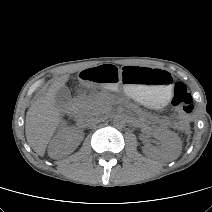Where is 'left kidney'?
Masks as SVG:
<instances>
[{"label": "left kidney", "instance_id": "obj_1", "mask_svg": "<svg viewBox=\"0 0 212 212\" xmlns=\"http://www.w3.org/2000/svg\"><path fill=\"white\" fill-rule=\"evenodd\" d=\"M153 134L155 138L162 142L158 152L163 159L171 161L179 156L181 152V141L176 133L168 129L157 128ZM153 151L154 150L149 146L143 148V152L147 155H150Z\"/></svg>", "mask_w": 212, "mask_h": 212}]
</instances>
